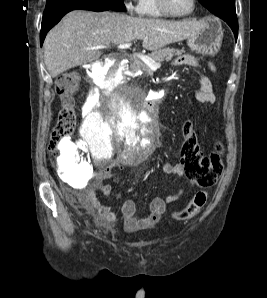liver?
<instances>
[{"label": "liver", "mask_w": 267, "mask_h": 298, "mask_svg": "<svg viewBox=\"0 0 267 298\" xmlns=\"http://www.w3.org/2000/svg\"><path fill=\"white\" fill-rule=\"evenodd\" d=\"M204 27L203 22L195 20L169 21L108 11L75 10L48 32L44 41V61L54 78L71 68L93 62L102 55L100 50L88 48L141 39L143 48L157 50L195 36Z\"/></svg>", "instance_id": "6515ba94"}]
</instances>
